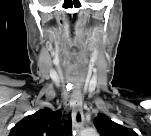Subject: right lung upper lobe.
<instances>
[{
	"mask_svg": "<svg viewBox=\"0 0 151 136\" xmlns=\"http://www.w3.org/2000/svg\"><path fill=\"white\" fill-rule=\"evenodd\" d=\"M11 136H62L61 112L49 108L38 110L19 121L10 132Z\"/></svg>",
	"mask_w": 151,
	"mask_h": 136,
	"instance_id": "obj_1",
	"label": "right lung upper lobe"
}]
</instances>
